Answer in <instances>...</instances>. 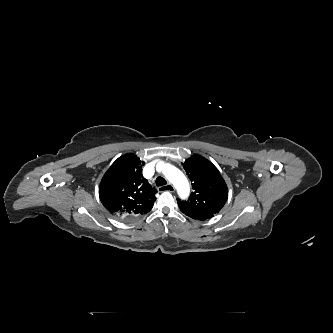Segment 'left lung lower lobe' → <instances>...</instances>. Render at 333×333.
Instances as JSON below:
<instances>
[{
  "label": "left lung lower lobe",
  "instance_id": "obj_1",
  "mask_svg": "<svg viewBox=\"0 0 333 333\" xmlns=\"http://www.w3.org/2000/svg\"><path fill=\"white\" fill-rule=\"evenodd\" d=\"M185 215L189 216L190 218H193V219H198V220H206L208 218H211V217H205V216H201V215H197V214H193V213H190V212H187L185 210H182L180 209Z\"/></svg>",
  "mask_w": 333,
  "mask_h": 333
}]
</instances>
